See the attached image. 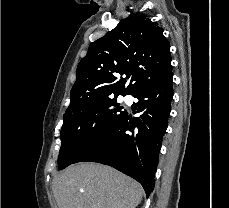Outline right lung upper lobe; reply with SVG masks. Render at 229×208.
I'll use <instances>...</instances> for the list:
<instances>
[{"label":"right lung upper lobe","mask_w":229,"mask_h":208,"mask_svg":"<svg viewBox=\"0 0 229 208\" xmlns=\"http://www.w3.org/2000/svg\"><path fill=\"white\" fill-rule=\"evenodd\" d=\"M169 42L146 16L133 14L92 42L77 67L76 82L65 117L102 100L133 95L142 86L166 75L171 66ZM126 75L127 80L119 76Z\"/></svg>","instance_id":"right-lung-upper-lobe-1"}]
</instances>
